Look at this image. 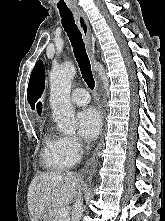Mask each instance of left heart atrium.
Segmentation results:
<instances>
[{
  "instance_id": "obj_1",
  "label": "left heart atrium",
  "mask_w": 165,
  "mask_h": 221,
  "mask_svg": "<svg viewBox=\"0 0 165 221\" xmlns=\"http://www.w3.org/2000/svg\"><path fill=\"white\" fill-rule=\"evenodd\" d=\"M77 123L81 136L86 141L94 140L101 128V119L93 108H85L77 114Z\"/></svg>"
}]
</instances>
